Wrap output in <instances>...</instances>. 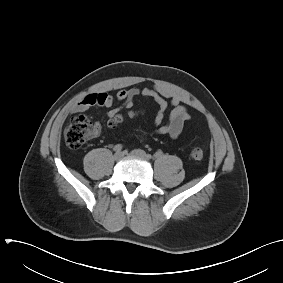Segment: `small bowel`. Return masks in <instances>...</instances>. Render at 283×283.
<instances>
[{
	"mask_svg": "<svg viewBox=\"0 0 283 283\" xmlns=\"http://www.w3.org/2000/svg\"><path fill=\"white\" fill-rule=\"evenodd\" d=\"M138 96L151 98L158 106V111L154 118L155 133L177 138L182 132L184 123L190 119V114L179 96L158 85L145 88L131 87L121 89L115 96L105 92L90 93L73 105L72 112H83L92 106H104L111 108L107 112V117L110 120L120 113L122 108L131 110L134 105V99ZM117 101L123 102L122 108H112ZM169 106L171 110L168 119L165 121V114ZM109 120L107 125L109 128H112ZM100 130L101 125L96 123L93 135H98Z\"/></svg>",
	"mask_w": 283,
	"mask_h": 283,
	"instance_id": "small-bowel-1",
	"label": "small bowel"
}]
</instances>
